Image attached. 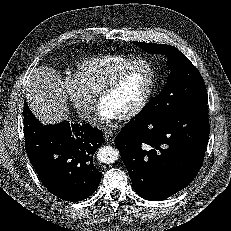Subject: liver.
<instances>
[{"instance_id":"liver-1","label":"liver","mask_w":231,"mask_h":231,"mask_svg":"<svg viewBox=\"0 0 231 231\" xmlns=\"http://www.w3.org/2000/svg\"><path fill=\"white\" fill-rule=\"evenodd\" d=\"M26 100L32 113L43 124H56L68 118L63 82L52 68L34 69L27 83Z\"/></svg>"}]
</instances>
